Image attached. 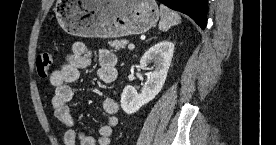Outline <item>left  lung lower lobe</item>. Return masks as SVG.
Instances as JSON below:
<instances>
[{"mask_svg": "<svg viewBox=\"0 0 276 145\" xmlns=\"http://www.w3.org/2000/svg\"><path fill=\"white\" fill-rule=\"evenodd\" d=\"M166 6L190 16L200 27L207 24L208 0H158Z\"/></svg>", "mask_w": 276, "mask_h": 145, "instance_id": "obj_1", "label": "left lung lower lobe"}]
</instances>
